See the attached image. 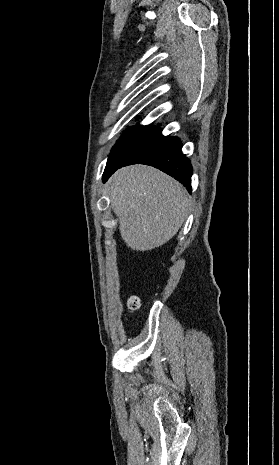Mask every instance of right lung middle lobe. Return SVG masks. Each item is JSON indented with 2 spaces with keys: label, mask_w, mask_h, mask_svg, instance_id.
<instances>
[{
  "label": "right lung middle lobe",
  "mask_w": 279,
  "mask_h": 465,
  "mask_svg": "<svg viewBox=\"0 0 279 465\" xmlns=\"http://www.w3.org/2000/svg\"><path fill=\"white\" fill-rule=\"evenodd\" d=\"M157 126H133L123 134L112 149L106 166H126L142 163L173 148L177 137L161 134Z\"/></svg>",
  "instance_id": "obj_1"
}]
</instances>
